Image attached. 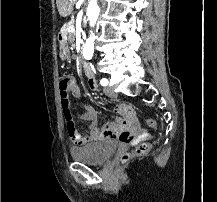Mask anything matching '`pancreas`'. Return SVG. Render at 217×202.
I'll use <instances>...</instances> for the list:
<instances>
[{
  "mask_svg": "<svg viewBox=\"0 0 217 202\" xmlns=\"http://www.w3.org/2000/svg\"><path fill=\"white\" fill-rule=\"evenodd\" d=\"M68 25H70V22H66L64 25H63V27H62V33L63 34H68V36H69V42H70V44H73V42H74V34H71V32H68L67 31V27H68Z\"/></svg>",
  "mask_w": 217,
  "mask_h": 202,
  "instance_id": "pancreas-1",
  "label": "pancreas"
}]
</instances>
